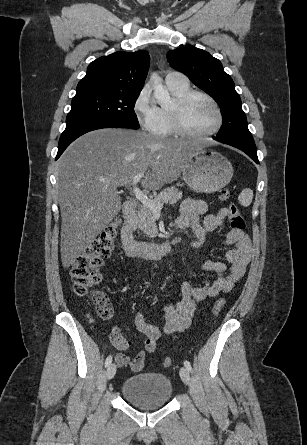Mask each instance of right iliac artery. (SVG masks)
Here are the masks:
<instances>
[{
    "label": "right iliac artery",
    "mask_w": 307,
    "mask_h": 445,
    "mask_svg": "<svg viewBox=\"0 0 307 445\" xmlns=\"http://www.w3.org/2000/svg\"><path fill=\"white\" fill-rule=\"evenodd\" d=\"M111 362H112V356L109 355V356L106 358V361H105V367H108V366L111 364Z\"/></svg>",
    "instance_id": "obj_1"
}]
</instances>
